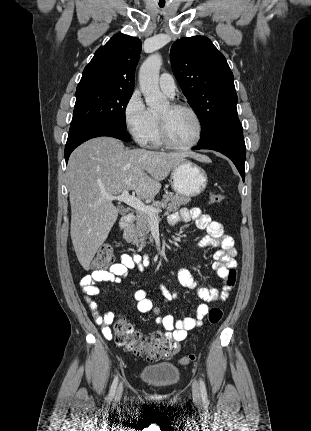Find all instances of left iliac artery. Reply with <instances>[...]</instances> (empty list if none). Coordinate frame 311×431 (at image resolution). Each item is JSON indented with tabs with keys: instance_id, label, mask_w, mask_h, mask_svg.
<instances>
[{
	"instance_id": "1",
	"label": "left iliac artery",
	"mask_w": 311,
	"mask_h": 431,
	"mask_svg": "<svg viewBox=\"0 0 311 431\" xmlns=\"http://www.w3.org/2000/svg\"><path fill=\"white\" fill-rule=\"evenodd\" d=\"M200 391H201V396L203 401H207V391H206V386L205 383L202 379H200Z\"/></svg>"
}]
</instances>
